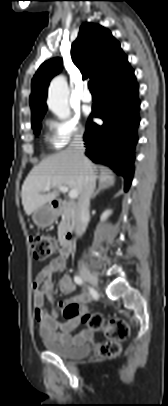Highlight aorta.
<instances>
[{"mask_svg": "<svg viewBox=\"0 0 168 406\" xmlns=\"http://www.w3.org/2000/svg\"><path fill=\"white\" fill-rule=\"evenodd\" d=\"M69 89L64 76L55 77L48 90L47 105L49 109L61 120L70 116L68 104Z\"/></svg>", "mask_w": 168, "mask_h": 406, "instance_id": "762f6f07", "label": "aorta"}]
</instances>
